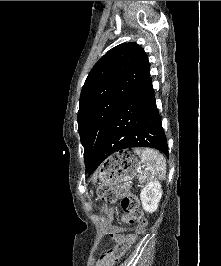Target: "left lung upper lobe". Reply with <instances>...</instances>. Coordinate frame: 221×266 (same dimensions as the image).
<instances>
[{"label":"left lung upper lobe","instance_id":"obj_1","mask_svg":"<svg viewBox=\"0 0 221 266\" xmlns=\"http://www.w3.org/2000/svg\"><path fill=\"white\" fill-rule=\"evenodd\" d=\"M145 51L135 42L109 50L91 69L82 87L78 132L89 166L118 109L130 92L150 76Z\"/></svg>","mask_w":221,"mask_h":266}]
</instances>
